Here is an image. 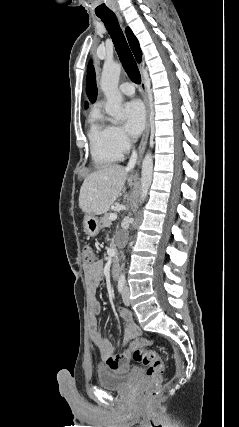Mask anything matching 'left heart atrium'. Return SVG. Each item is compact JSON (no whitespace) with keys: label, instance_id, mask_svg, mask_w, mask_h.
I'll return each instance as SVG.
<instances>
[{"label":"left heart atrium","instance_id":"39dd6f15","mask_svg":"<svg viewBox=\"0 0 239 427\" xmlns=\"http://www.w3.org/2000/svg\"><path fill=\"white\" fill-rule=\"evenodd\" d=\"M125 130L132 136L137 137L145 126V110L142 103L132 100L124 106Z\"/></svg>","mask_w":239,"mask_h":427}]
</instances>
